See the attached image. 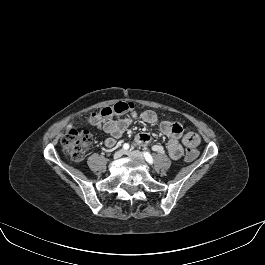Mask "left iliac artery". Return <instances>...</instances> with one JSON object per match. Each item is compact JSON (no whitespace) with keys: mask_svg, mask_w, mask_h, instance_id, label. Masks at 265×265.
Masks as SVG:
<instances>
[{"mask_svg":"<svg viewBox=\"0 0 265 265\" xmlns=\"http://www.w3.org/2000/svg\"><path fill=\"white\" fill-rule=\"evenodd\" d=\"M144 157L149 164H153V158L149 152H144Z\"/></svg>","mask_w":265,"mask_h":265,"instance_id":"left-iliac-artery-1","label":"left iliac artery"}]
</instances>
